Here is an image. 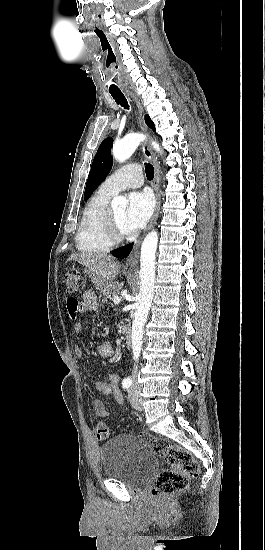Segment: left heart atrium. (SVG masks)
<instances>
[{
    "instance_id": "1",
    "label": "left heart atrium",
    "mask_w": 265,
    "mask_h": 550,
    "mask_svg": "<svg viewBox=\"0 0 265 550\" xmlns=\"http://www.w3.org/2000/svg\"><path fill=\"white\" fill-rule=\"evenodd\" d=\"M153 199L149 192H133L129 196V204L124 217V227L127 233L142 229L149 221L153 212Z\"/></svg>"
}]
</instances>
